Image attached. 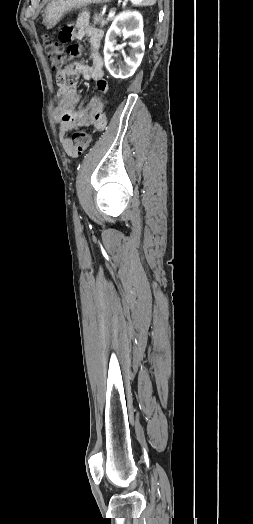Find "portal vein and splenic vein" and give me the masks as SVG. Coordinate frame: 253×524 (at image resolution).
I'll list each match as a JSON object with an SVG mask.
<instances>
[{
    "label": "portal vein and splenic vein",
    "instance_id": "obj_1",
    "mask_svg": "<svg viewBox=\"0 0 253 524\" xmlns=\"http://www.w3.org/2000/svg\"><path fill=\"white\" fill-rule=\"evenodd\" d=\"M114 15H115V10H110L109 14H108V18L110 19V18L114 17Z\"/></svg>",
    "mask_w": 253,
    "mask_h": 524
}]
</instances>
